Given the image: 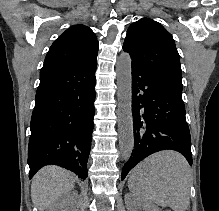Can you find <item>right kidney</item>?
<instances>
[{
    "label": "right kidney",
    "instance_id": "1",
    "mask_svg": "<svg viewBox=\"0 0 219 211\" xmlns=\"http://www.w3.org/2000/svg\"><path fill=\"white\" fill-rule=\"evenodd\" d=\"M69 201L66 195H62V197H58L52 205H49L47 211H66V203Z\"/></svg>",
    "mask_w": 219,
    "mask_h": 211
}]
</instances>
